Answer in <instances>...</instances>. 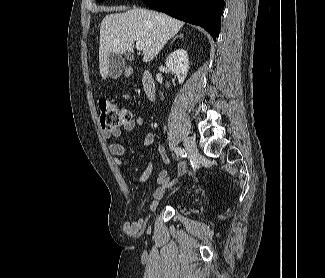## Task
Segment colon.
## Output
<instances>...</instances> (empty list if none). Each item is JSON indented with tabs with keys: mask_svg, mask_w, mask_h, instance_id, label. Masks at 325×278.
Wrapping results in <instances>:
<instances>
[{
	"mask_svg": "<svg viewBox=\"0 0 325 278\" xmlns=\"http://www.w3.org/2000/svg\"><path fill=\"white\" fill-rule=\"evenodd\" d=\"M100 123L104 130H114L131 119L130 111L122 106H119L110 100L100 99Z\"/></svg>",
	"mask_w": 325,
	"mask_h": 278,
	"instance_id": "obj_1",
	"label": "colon"
}]
</instances>
